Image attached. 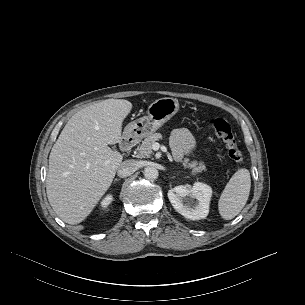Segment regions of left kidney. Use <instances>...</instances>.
I'll return each instance as SVG.
<instances>
[{
	"label": "left kidney",
	"mask_w": 305,
	"mask_h": 305,
	"mask_svg": "<svg viewBox=\"0 0 305 305\" xmlns=\"http://www.w3.org/2000/svg\"><path fill=\"white\" fill-rule=\"evenodd\" d=\"M211 196V187L200 182L194 183L192 188L179 185L168 191V198L173 208L190 220L207 217Z\"/></svg>",
	"instance_id": "obj_1"
}]
</instances>
